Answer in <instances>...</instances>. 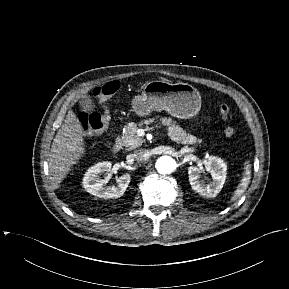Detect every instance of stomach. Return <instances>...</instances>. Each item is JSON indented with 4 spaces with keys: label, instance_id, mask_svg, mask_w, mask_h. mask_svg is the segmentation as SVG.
<instances>
[{
    "label": "stomach",
    "instance_id": "obj_1",
    "mask_svg": "<svg viewBox=\"0 0 289 289\" xmlns=\"http://www.w3.org/2000/svg\"><path fill=\"white\" fill-rule=\"evenodd\" d=\"M134 112L148 116L153 111L165 110L170 115L187 119L198 114L201 108V96L196 88L188 83H169L153 80L144 85L141 95L132 100Z\"/></svg>",
    "mask_w": 289,
    "mask_h": 289
}]
</instances>
